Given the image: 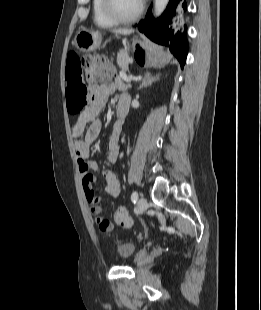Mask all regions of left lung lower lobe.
<instances>
[{
    "label": "left lung lower lobe",
    "mask_w": 261,
    "mask_h": 310,
    "mask_svg": "<svg viewBox=\"0 0 261 310\" xmlns=\"http://www.w3.org/2000/svg\"><path fill=\"white\" fill-rule=\"evenodd\" d=\"M182 7L186 9V3L183 0H170L165 12L157 20L153 19L150 8L145 19L138 24V28L152 41L168 46L183 68L187 56L186 30L181 33L171 26L172 17ZM185 29H187L186 26Z\"/></svg>",
    "instance_id": "0a47b994"
}]
</instances>
